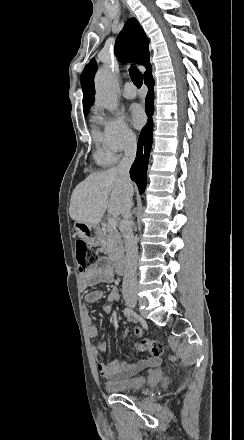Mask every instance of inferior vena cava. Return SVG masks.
<instances>
[{"label":"inferior vena cava","mask_w":244,"mask_h":440,"mask_svg":"<svg viewBox=\"0 0 244 440\" xmlns=\"http://www.w3.org/2000/svg\"><path fill=\"white\" fill-rule=\"evenodd\" d=\"M137 150L136 138H132L128 144L125 154L117 166V172L122 180V186L127 190L128 196L124 200V206L121 210L123 224L121 226V234L125 242V270L122 286L123 296L137 294V242L134 238L133 228L131 224V208H132V184L129 178V170L135 160Z\"/></svg>","instance_id":"602c4592"}]
</instances>
